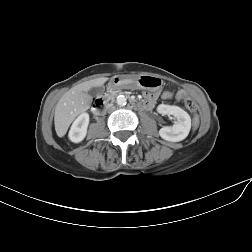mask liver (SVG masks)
<instances>
[{
  "label": "liver",
  "instance_id": "6515ba94",
  "mask_svg": "<svg viewBox=\"0 0 252 252\" xmlns=\"http://www.w3.org/2000/svg\"><path fill=\"white\" fill-rule=\"evenodd\" d=\"M108 78L102 77L83 82L66 92L56 105L54 124L59 137L66 134L70 124L82 112L90 108L92 97L88 91L102 86Z\"/></svg>",
  "mask_w": 252,
  "mask_h": 252
}]
</instances>
